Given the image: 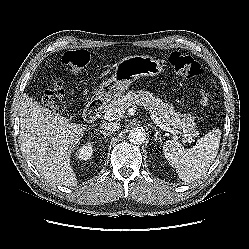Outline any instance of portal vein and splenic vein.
<instances>
[{"label":"portal vein and splenic vein","mask_w":249,"mask_h":249,"mask_svg":"<svg viewBox=\"0 0 249 249\" xmlns=\"http://www.w3.org/2000/svg\"><path fill=\"white\" fill-rule=\"evenodd\" d=\"M122 112L120 111V109L117 108H112L109 109L108 111L105 112L104 117L110 120H115L117 118H119L121 116ZM151 118L153 119L154 123L156 124V126L160 127L161 129H163L164 131L170 132L172 134H178V131L175 130L174 128H171L167 125H165L158 116L156 115H151Z\"/></svg>","instance_id":"1"}]
</instances>
